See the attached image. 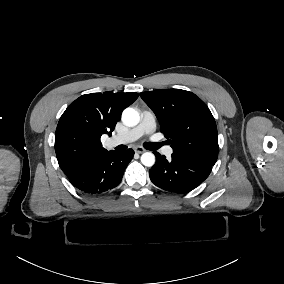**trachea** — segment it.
I'll use <instances>...</instances> for the list:
<instances>
[{
  "label": "trachea",
  "instance_id": "trachea-1",
  "mask_svg": "<svg viewBox=\"0 0 284 284\" xmlns=\"http://www.w3.org/2000/svg\"><path fill=\"white\" fill-rule=\"evenodd\" d=\"M166 144H167V141L159 142V143H146L145 146L148 150H157L158 148Z\"/></svg>",
  "mask_w": 284,
  "mask_h": 284
}]
</instances>
